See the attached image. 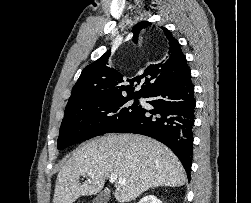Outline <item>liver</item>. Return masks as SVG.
I'll use <instances>...</instances> for the list:
<instances>
[{
    "label": "liver",
    "instance_id": "1",
    "mask_svg": "<svg viewBox=\"0 0 251 203\" xmlns=\"http://www.w3.org/2000/svg\"><path fill=\"white\" fill-rule=\"evenodd\" d=\"M112 173L126 180L114 192L120 203L153 187L186 182L181 162L162 143L135 134H107L84 143L67 160L56 179L53 203H73L99 193ZM81 176L87 177L83 184Z\"/></svg>",
    "mask_w": 251,
    "mask_h": 203
}]
</instances>
